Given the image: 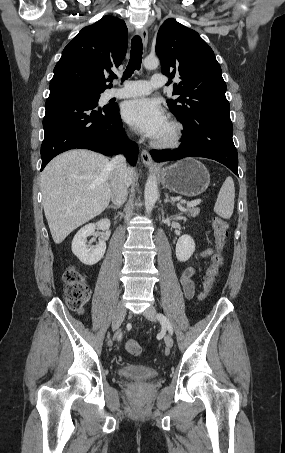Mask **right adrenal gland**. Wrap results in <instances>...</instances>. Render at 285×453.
<instances>
[{
	"label": "right adrenal gland",
	"instance_id": "1",
	"mask_svg": "<svg viewBox=\"0 0 285 453\" xmlns=\"http://www.w3.org/2000/svg\"><path fill=\"white\" fill-rule=\"evenodd\" d=\"M107 208H111V209H115V210H116V209H118V208H119V206H115V205H109V206H107Z\"/></svg>",
	"mask_w": 285,
	"mask_h": 453
}]
</instances>
